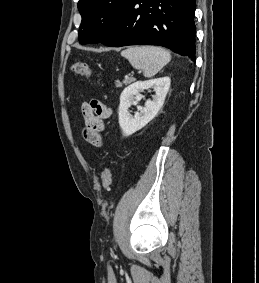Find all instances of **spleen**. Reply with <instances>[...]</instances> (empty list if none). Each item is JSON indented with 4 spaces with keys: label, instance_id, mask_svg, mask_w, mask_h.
<instances>
[{
    "label": "spleen",
    "instance_id": "3e777b00",
    "mask_svg": "<svg viewBox=\"0 0 259 283\" xmlns=\"http://www.w3.org/2000/svg\"><path fill=\"white\" fill-rule=\"evenodd\" d=\"M135 69L143 71L145 77L155 76L171 60L170 53L156 46H131L121 52Z\"/></svg>",
    "mask_w": 259,
    "mask_h": 283
}]
</instances>
